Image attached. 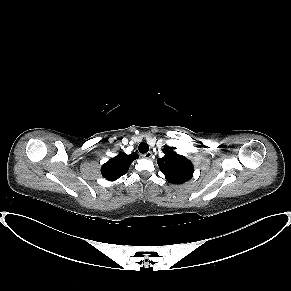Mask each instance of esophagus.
<instances>
[{
    "label": "esophagus",
    "instance_id": "34e87169",
    "mask_svg": "<svg viewBox=\"0 0 291 291\" xmlns=\"http://www.w3.org/2000/svg\"><path fill=\"white\" fill-rule=\"evenodd\" d=\"M143 157L146 158V159H150L152 157V152L149 151V152L143 154Z\"/></svg>",
    "mask_w": 291,
    "mask_h": 291
}]
</instances>
